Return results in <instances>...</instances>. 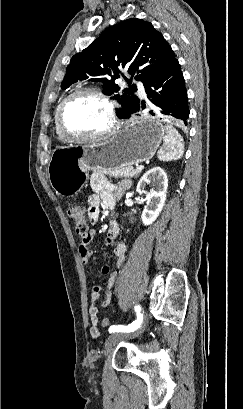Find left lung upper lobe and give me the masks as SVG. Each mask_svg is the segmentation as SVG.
Here are the masks:
<instances>
[{
    "mask_svg": "<svg viewBox=\"0 0 243 409\" xmlns=\"http://www.w3.org/2000/svg\"><path fill=\"white\" fill-rule=\"evenodd\" d=\"M176 60L171 46L151 23L131 18L108 27L82 52L75 54L66 69L61 87L68 88L78 80L103 83L104 93L112 95L121 105L119 116L127 114L139 100L133 93L136 85L127 80L129 88L120 93L114 80L123 68L145 84L151 77Z\"/></svg>",
    "mask_w": 243,
    "mask_h": 409,
    "instance_id": "5c2ea615",
    "label": "left lung upper lobe"
}]
</instances>
